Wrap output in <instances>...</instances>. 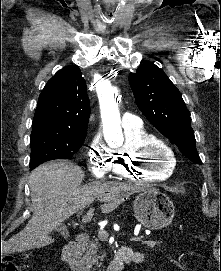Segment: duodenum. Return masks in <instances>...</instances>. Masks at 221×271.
Wrapping results in <instances>:
<instances>
[{"mask_svg":"<svg viewBox=\"0 0 221 271\" xmlns=\"http://www.w3.org/2000/svg\"><path fill=\"white\" fill-rule=\"evenodd\" d=\"M88 234L80 233L69 241L62 249V259L71 271H89L85 264L78 258L81 246L87 242ZM144 257L142 254L134 253L131 249L120 248L113 256L106 271H122L126 263H141Z\"/></svg>","mask_w":221,"mask_h":271,"instance_id":"duodenum-1","label":"duodenum"}]
</instances>
